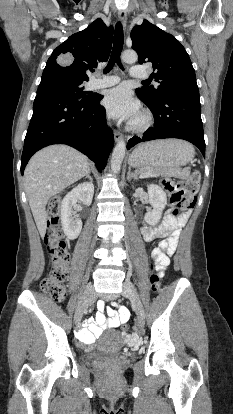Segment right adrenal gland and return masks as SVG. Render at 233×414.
<instances>
[{"instance_id": "1", "label": "right adrenal gland", "mask_w": 233, "mask_h": 414, "mask_svg": "<svg viewBox=\"0 0 233 414\" xmlns=\"http://www.w3.org/2000/svg\"><path fill=\"white\" fill-rule=\"evenodd\" d=\"M90 173H91V171H89V172L87 173L86 178H89L90 182H92V181H93V179H92V177L90 176Z\"/></svg>"}]
</instances>
